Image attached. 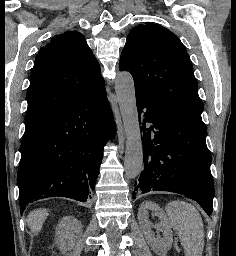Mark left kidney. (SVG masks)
Returning a JSON list of instances; mask_svg holds the SVG:
<instances>
[{
  "mask_svg": "<svg viewBox=\"0 0 236 256\" xmlns=\"http://www.w3.org/2000/svg\"><path fill=\"white\" fill-rule=\"evenodd\" d=\"M148 210H152L153 214L160 218V224L152 226L151 222L147 220ZM138 222L140 230H142L151 250H153L157 256H166L167 252L171 250L173 234L165 212L161 210L160 206L154 204V202L146 200L139 208ZM151 228H156L158 232H163V238H160V236L154 238L151 234Z\"/></svg>",
  "mask_w": 236,
  "mask_h": 256,
  "instance_id": "5707ae66",
  "label": "left kidney"
}]
</instances>
